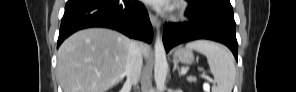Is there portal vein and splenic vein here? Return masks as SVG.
<instances>
[{"label":"portal vein and splenic vein","instance_id":"portal-vein-and-splenic-vein-1","mask_svg":"<svg viewBox=\"0 0 296 92\" xmlns=\"http://www.w3.org/2000/svg\"><path fill=\"white\" fill-rule=\"evenodd\" d=\"M186 73H187V71H186V70L182 71V74H186Z\"/></svg>","mask_w":296,"mask_h":92}]
</instances>
